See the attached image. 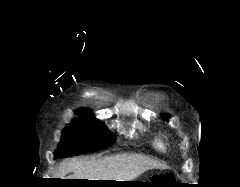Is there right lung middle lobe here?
I'll use <instances>...</instances> for the list:
<instances>
[{
    "instance_id": "right-lung-middle-lobe-1",
    "label": "right lung middle lobe",
    "mask_w": 240,
    "mask_h": 187,
    "mask_svg": "<svg viewBox=\"0 0 240 187\" xmlns=\"http://www.w3.org/2000/svg\"><path fill=\"white\" fill-rule=\"evenodd\" d=\"M113 142L114 137L98 120L89 113L81 112L79 119L63 130L62 141L55 154L60 158L80 155L104 149Z\"/></svg>"
}]
</instances>
